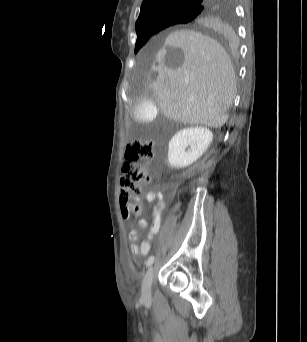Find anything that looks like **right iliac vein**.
I'll return each instance as SVG.
<instances>
[{
  "label": "right iliac vein",
  "instance_id": "right-iliac-vein-1",
  "mask_svg": "<svg viewBox=\"0 0 307 342\" xmlns=\"http://www.w3.org/2000/svg\"><path fill=\"white\" fill-rule=\"evenodd\" d=\"M153 276H154V268L153 266L149 267L143 282H142V289H141V298L146 300L150 297L151 295V285L153 282Z\"/></svg>",
  "mask_w": 307,
  "mask_h": 342
}]
</instances>
